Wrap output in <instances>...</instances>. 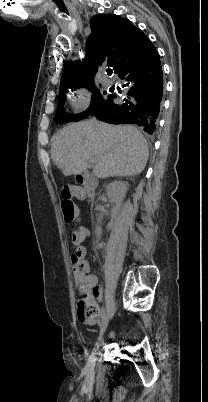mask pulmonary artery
Instances as JSON below:
<instances>
[{
    "instance_id": "1",
    "label": "pulmonary artery",
    "mask_w": 208,
    "mask_h": 402,
    "mask_svg": "<svg viewBox=\"0 0 208 402\" xmlns=\"http://www.w3.org/2000/svg\"><path fill=\"white\" fill-rule=\"evenodd\" d=\"M101 73H104V70H101Z\"/></svg>"
}]
</instances>
